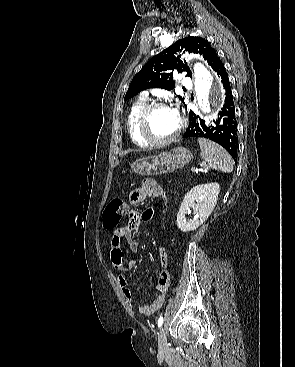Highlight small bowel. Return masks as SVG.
<instances>
[{
  "instance_id": "1",
  "label": "small bowel",
  "mask_w": 295,
  "mask_h": 367,
  "mask_svg": "<svg viewBox=\"0 0 295 367\" xmlns=\"http://www.w3.org/2000/svg\"><path fill=\"white\" fill-rule=\"evenodd\" d=\"M158 196H163L162 187L153 179H145L142 182L141 187L132 191L130 195V201L133 204H139L146 198H151L154 200L153 205L158 208L159 201L156 199ZM140 224L141 216L139 214V209L130 208L127 224L116 228L113 231L110 242V261L113 267L120 272H128L135 266V255L137 253L139 244L133 237V232L140 226ZM123 242L127 244L128 250L130 252V257L128 258H126L123 254ZM158 260L161 266L158 278V294L151 303L138 307V310L142 315H152L154 312L160 309L165 301V296L170 283V272L168 269V255L163 247L158 248ZM118 284L125 299L129 303H133L134 297L124 276H118Z\"/></svg>"
}]
</instances>
